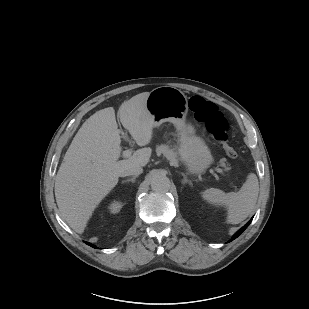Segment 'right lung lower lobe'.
Here are the masks:
<instances>
[{"label":"right lung lower lobe","mask_w":309,"mask_h":309,"mask_svg":"<svg viewBox=\"0 0 309 309\" xmlns=\"http://www.w3.org/2000/svg\"><path fill=\"white\" fill-rule=\"evenodd\" d=\"M86 244L92 246L93 248H97L96 246H94V245H92V244H90V243H88V242H86Z\"/></svg>","instance_id":"98d812e1"}]
</instances>
